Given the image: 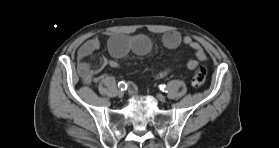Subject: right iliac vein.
<instances>
[{
    "instance_id": "1",
    "label": "right iliac vein",
    "mask_w": 279,
    "mask_h": 148,
    "mask_svg": "<svg viewBox=\"0 0 279 148\" xmlns=\"http://www.w3.org/2000/svg\"><path fill=\"white\" fill-rule=\"evenodd\" d=\"M118 97H123L124 96V91L123 90H118L117 92Z\"/></svg>"
}]
</instances>
